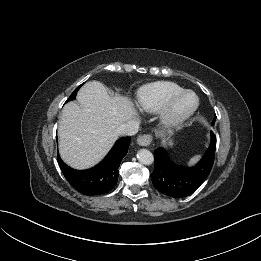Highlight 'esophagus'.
I'll return each mask as SVG.
<instances>
[{"label": "esophagus", "mask_w": 261, "mask_h": 261, "mask_svg": "<svg viewBox=\"0 0 261 261\" xmlns=\"http://www.w3.org/2000/svg\"><path fill=\"white\" fill-rule=\"evenodd\" d=\"M151 142H152V136L150 134L140 135L137 138L138 145L143 147L149 146Z\"/></svg>", "instance_id": "obj_1"}]
</instances>
